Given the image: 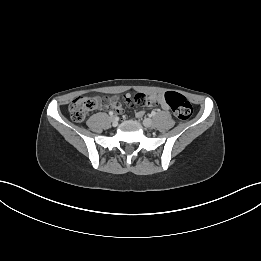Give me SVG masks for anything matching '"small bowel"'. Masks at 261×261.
<instances>
[{"label":"small bowel","instance_id":"small-bowel-1","mask_svg":"<svg viewBox=\"0 0 261 261\" xmlns=\"http://www.w3.org/2000/svg\"><path fill=\"white\" fill-rule=\"evenodd\" d=\"M95 100L97 108L109 109L111 107L116 110L117 115L123 114V109L117 97L109 98L107 102H103L99 98H95ZM120 100L125 101L126 105L132 104L135 108H150L154 105H159L165 111L170 108L164 99V95L159 93L152 95H147L143 92H138L136 94L122 93L120 95ZM138 114L142 115L143 111H140Z\"/></svg>","mask_w":261,"mask_h":261}]
</instances>
